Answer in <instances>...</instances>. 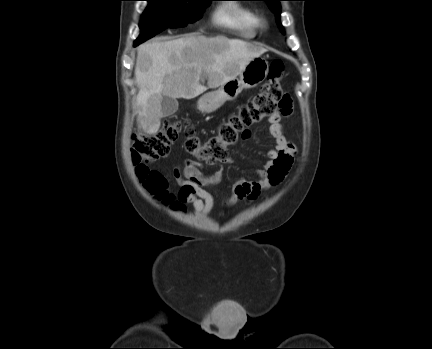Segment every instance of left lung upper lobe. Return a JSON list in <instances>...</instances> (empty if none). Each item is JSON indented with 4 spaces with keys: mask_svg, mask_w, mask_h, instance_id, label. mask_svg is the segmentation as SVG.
<instances>
[{
    "mask_svg": "<svg viewBox=\"0 0 432 349\" xmlns=\"http://www.w3.org/2000/svg\"><path fill=\"white\" fill-rule=\"evenodd\" d=\"M259 1H266L268 7L271 9L272 12H274L275 14L279 15L280 14V4L279 2L282 0H259ZM276 22L278 27L280 28L281 32H283L281 23H280V19L277 16L276 18Z\"/></svg>",
    "mask_w": 432,
    "mask_h": 349,
    "instance_id": "1",
    "label": "left lung upper lobe"
}]
</instances>
